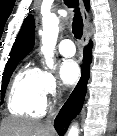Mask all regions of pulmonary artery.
Segmentation results:
<instances>
[{
	"instance_id": "e3ab8cb5",
	"label": "pulmonary artery",
	"mask_w": 117,
	"mask_h": 136,
	"mask_svg": "<svg viewBox=\"0 0 117 136\" xmlns=\"http://www.w3.org/2000/svg\"><path fill=\"white\" fill-rule=\"evenodd\" d=\"M59 52L64 57H72L75 55V45L71 39H63L59 45Z\"/></svg>"
}]
</instances>
